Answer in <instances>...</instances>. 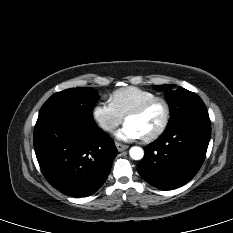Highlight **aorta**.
Returning a JSON list of instances; mask_svg holds the SVG:
<instances>
[{
  "instance_id": "aorta-1",
  "label": "aorta",
  "mask_w": 233,
  "mask_h": 233,
  "mask_svg": "<svg viewBox=\"0 0 233 233\" xmlns=\"http://www.w3.org/2000/svg\"><path fill=\"white\" fill-rule=\"evenodd\" d=\"M129 155L133 160H140L144 156V151L141 147L134 146L130 148Z\"/></svg>"
}]
</instances>
